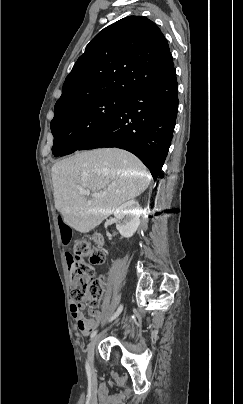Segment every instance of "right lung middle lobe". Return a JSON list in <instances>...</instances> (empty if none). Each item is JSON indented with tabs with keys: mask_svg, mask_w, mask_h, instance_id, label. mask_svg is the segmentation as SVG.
Instances as JSON below:
<instances>
[{
	"mask_svg": "<svg viewBox=\"0 0 243 404\" xmlns=\"http://www.w3.org/2000/svg\"><path fill=\"white\" fill-rule=\"evenodd\" d=\"M125 98L105 97L73 107L51 121L55 157L71 154L98 133L116 114Z\"/></svg>",
	"mask_w": 243,
	"mask_h": 404,
	"instance_id": "1",
	"label": "right lung middle lobe"
}]
</instances>
